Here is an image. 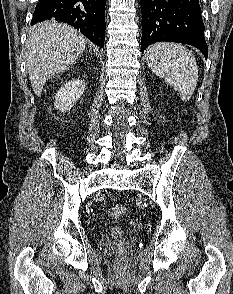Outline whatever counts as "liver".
I'll list each match as a JSON object with an SVG mask.
<instances>
[{"mask_svg": "<svg viewBox=\"0 0 233 294\" xmlns=\"http://www.w3.org/2000/svg\"><path fill=\"white\" fill-rule=\"evenodd\" d=\"M85 47V38L69 25L54 21L36 25L28 36L26 53L34 93L39 97L44 83L74 64Z\"/></svg>", "mask_w": 233, "mask_h": 294, "instance_id": "obj_1", "label": "liver"}]
</instances>
